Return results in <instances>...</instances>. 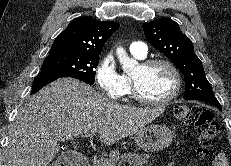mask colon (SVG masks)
<instances>
[{
	"label": "colon",
	"instance_id": "obj_1",
	"mask_svg": "<svg viewBox=\"0 0 231 166\" xmlns=\"http://www.w3.org/2000/svg\"><path fill=\"white\" fill-rule=\"evenodd\" d=\"M174 114L177 119L197 129V152L201 157H207L215 144L218 134V126L212 114L198 105H178ZM53 166H63L56 163Z\"/></svg>",
	"mask_w": 231,
	"mask_h": 166
}]
</instances>
